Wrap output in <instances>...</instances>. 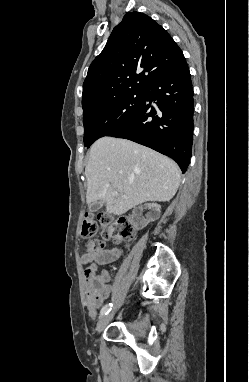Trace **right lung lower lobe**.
Listing matches in <instances>:
<instances>
[{
  "mask_svg": "<svg viewBox=\"0 0 249 382\" xmlns=\"http://www.w3.org/2000/svg\"><path fill=\"white\" fill-rule=\"evenodd\" d=\"M193 112V88L184 59L146 87L140 110L108 136L125 138L167 155L185 173L191 157Z\"/></svg>",
  "mask_w": 249,
  "mask_h": 382,
  "instance_id": "98d812e1",
  "label": "right lung lower lobe"
}]
</instances>
